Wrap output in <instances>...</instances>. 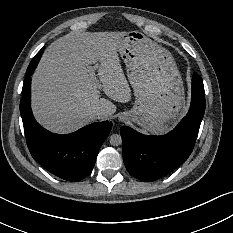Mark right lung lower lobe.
<instances>
[{"mask_svg":"<svg viewBox=\"0 0 233 233\" xmlns=\"http://www.w3.org/2000/svg\"><path fill=\"white\" fill-rule=\"evenodd\" d=\"M43 51L44 47L31 60L22 88L20 113L27 145L32 157L46 170L61 179L77 182L91 173L112 123H93L74 133L58 135L47 131L36 122L31 111V75Z\"/></svg>","mask_w":233,"mask_h":233,"instance_id":"1","label":"right lung lower lobe"}]
</instances>
